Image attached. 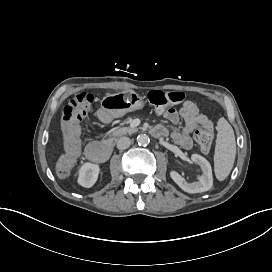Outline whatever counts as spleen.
<instances>
[{"instance_id":"obj_1","label":"spleen","mask_w":272,"mask_h":272,"mask_svg":"<svg viewBox=\"0 0 272 272\" xmlns=\"http://www.w3.org/2000/svg\"><path fill=\"white\" fill-rule=\"evenodd\" d=\"M214 166L216 177L224 180L230 173L236 154L234 132L225 118H220L217 125Z\"/></svg>"}]
</instances>
